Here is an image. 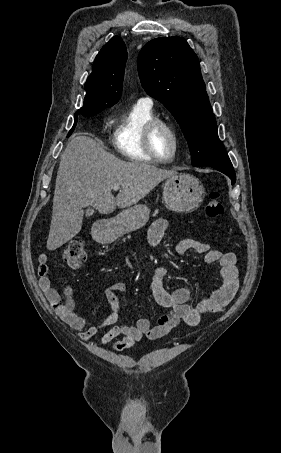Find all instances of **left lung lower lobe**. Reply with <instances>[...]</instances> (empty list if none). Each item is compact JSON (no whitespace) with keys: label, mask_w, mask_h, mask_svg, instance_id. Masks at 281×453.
<instances>
[{"label":"left lung lower lobe","mask_w":281,"mask_h":453,"mask_svg":"<svg viewBox=\"0 0 281 453\" xmlns=\"http://www.w3.org/2000/svg\"><path fill=\"white\" fill-rule=\"evenodd\" d=\"M210 167H213L217 170H219L220 172L226 174L232 181V184L235 183L236 181V176H235V171L233 169V166H215V165H211Z\"/></svg>","instance_id":"left-lung-lower-lobe-1"}]
</instances>
